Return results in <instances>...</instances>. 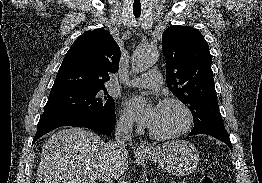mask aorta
<instances>
[{"mask_svg": "<svg viewBox=\"0 0 262 183\" xmlns=\"http://www.w3.org/2000/svg\"><path fill=\"white\" fill-rule=\"evenodd\" d=\"M159 53L152 47H138L132 58V68L134 71L143 72L152 67L158 60Z\"/></svg>", "mask_w": 262, "mask_h": 183, "instance_id": "762f6f07", "label": "aorta"}]
</instances>
